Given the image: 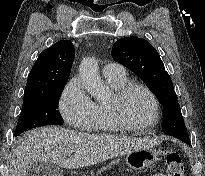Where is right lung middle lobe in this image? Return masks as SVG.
Here are the masks:
<instances>
[{
	"label": "right lung middle lobe",
	"mask_w": 205,
	"mask_h": 176,
	"mask_svg": "<svg viewBox=\"0 0 205 176\" xmlns=\"http://www.w3.org/2000/svg\"><path fill=\"white\" fill-rule=\"evenodd\" d=\"M64 85L46 92L24 96L15 136L31 128L63 124L62 117L57 109L58 100L64 89Z\"/></svg>",
	"instance_id": "obj_1"
}]
</instances>
